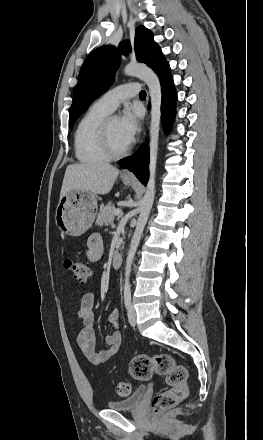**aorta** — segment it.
Here are the masks:
<instances>
[{
  "mask_svg": "<svg viewBox=\"0 0 263 440\" xmlns=\"http://www.w3.org/2000/svg\"><path fill=\"white\" fill-rule=\"evenodd\" d=\"M124 73L129 76H135L142 79L149 88L151 98V125H150V161H149V180L146 186V192L142 199L140 213L137 225L131 239L125 267V286H129V278L131 273V265L139 245L144 227L148 221V217L153 205L155 196V177L158 154V140L160 131L161 117V99L162 91L158 76L147 66L139 63L127 64Z\"/></svg>",
  "mask_w": 263,
  "mask_h": 440,
  "instance_id": "762f6f07",
  "label": "aorta"
}]
</instances>
